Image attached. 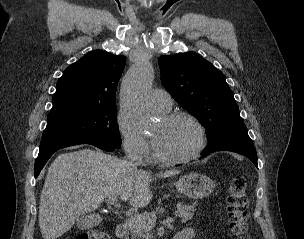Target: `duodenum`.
I'll return each instance as SVG.
<instances>
[{
	"mask_svg": "<svg viewBox=\"0 0 304 239\" xmlns=\"http://www.w3.org/2000/svg\"><path fill=\"white\" fill-rule=\"evenodd\" d=\"M128 233V224L127 223H120L116 227V236L118 238H125ZM173 239H184L183 236L177 234Z\"/></svg>",
	"mask_w": 304,
	"mask_h": 239,
	"instance_id": "410a0bca",
	"label": "duodenum"
}]
</instances>
